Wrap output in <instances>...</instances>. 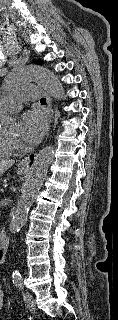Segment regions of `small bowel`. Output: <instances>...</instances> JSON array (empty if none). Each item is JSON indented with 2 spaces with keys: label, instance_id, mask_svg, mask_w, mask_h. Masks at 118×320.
I'll return each mask as SVG.
<instances>
[{
  "label": "small bowel",
  "instance_id": "obj_1",
  "mask_svg": "<svg viewBox=\"0 0 118 320\" xmlns=\"http://www.w3.org/2000/svg\"><path fill=\"white\" fill-rule=\"evenodd\" d=\"M4 306V293L2 290V286L0 285V312L2 311Z\"/></svg>",
  "mask_w": 118,
  "mask_h": 320
}]
</instances>
